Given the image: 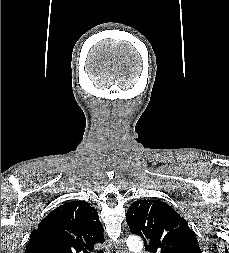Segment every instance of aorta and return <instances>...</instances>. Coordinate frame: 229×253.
Wrapping results in <instances>:
<instances>
[{"instance_id":"aorta-1","label":"aorta","mask_w":229,"mask_h":253,"mask_svg":"<svg viewBox=\"0 0 229 253\" xmlns=\"http://www.w3.org/2000/svg\"><path fill=\"white\" fill-rule=\"evenodd\" d=\"M127 246L132 252H140L143 248L142 240L137 236H131L127 239Z\"/></svg>"}]
</instances>
